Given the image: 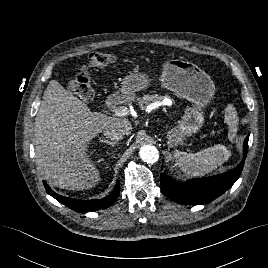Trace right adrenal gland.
Segmentation results:
<instances>
[{
	"label": "right adrenal gland",
	"mask_w": 268,
	"mask_h": 268,
	"mask_svg": "<svg viewBox=\"0 0 268 268\" xmlns=\"http://www.w3.org/2000/svg\"><path fill=\"white\" fill-rule=\"evenodd\" d=\"M100 142L101 143H104V144H107V145H110L111 147H114L115 146V144L117 143V141H108V140H105V139H101L100 138Z\"/></svg>",
	"instance_id": "1"
}]
</instances>
